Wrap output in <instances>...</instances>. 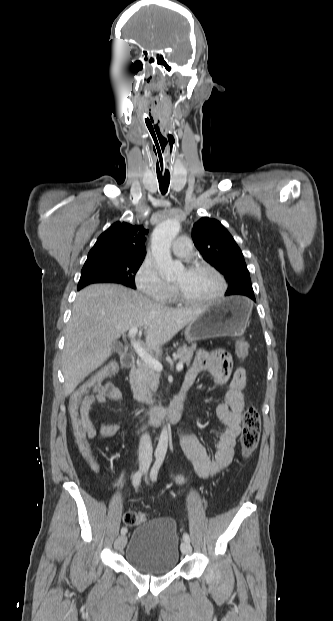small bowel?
<instances>
[{"label":"small bowel","mask_w":333,"mask_h":621,"mask_svg":"<svg viewBox=\"0 0 333 621\" xmlns=\"http://www.w3.org/2000/svg\"><path fill=\"white\" fill-rule=\"evenodd\" d=\"M202 372L210 374L217 384L229 382L225 401L216 409L217 417L225 429L219 436L214 455H209L204 445L187 427L182 429V446L186 455L192 461L198 476L209 479L232 462L236 441L241 433L248 373L243 367H234L230 355L221 349L198 352L186 373L184 384L191 387ZM122 398V391L111 382L97 385L84 392L80 400L79 413L87 438L107 439L119 431L118 424L99 423L96 428L92 420V410L95 404L104 403L106 400L121 401ZM175 480L179 484L185 481L181 477Z\"/></svg>","instance_id":"1"}]
</instances>
